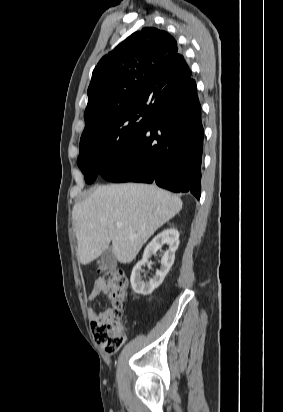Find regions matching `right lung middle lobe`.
<instances>
[{
  "instance_id": "right-lung-middle-lobe-1",
  "label": "right lung middle lobe",
  "mask_w": 283,
  "mask_h": 412,
  "mask_svg": "<svg viewBox=\"0 0 283 412\" xmlns=\"http://www.w3.org/2000/svg\"><path fill=\"white\" fill-rule=\"evenodd\" d=\"M159 105L157 101L136 104L120 112L102 129L81 137L77 164L86 183L94 182L106 166L127 153Z\"/></svg>"
}]
</instances>
